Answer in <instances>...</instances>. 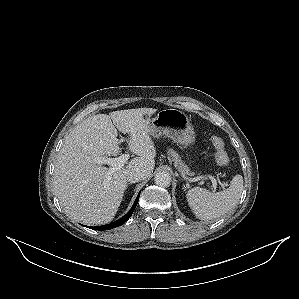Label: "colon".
Segmentation results:
<instances>
[{"label": "colon", "instance_id": "5ec220e1", "mask_svg": "<svg viewBox=\"0 0 299 299\" xmlns=\"http://www.w3.org/2000/svg\"><path fill=\"white\" fill-rule=\"evenodd\" d=\"M211 144L215 150V159L219 166H226L229 162V157L225 149V144L222 138L218 136L211 137Z\"/></svg>", "mask_w": 299, "mask_h": 299}]
</instances>
